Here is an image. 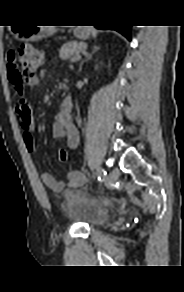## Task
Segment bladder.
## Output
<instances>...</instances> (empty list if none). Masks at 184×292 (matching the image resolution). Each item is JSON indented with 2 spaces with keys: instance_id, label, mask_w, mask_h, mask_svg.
<instances>
[{
  "instance_id": "1",
  "label": "bladder",
  "mask_w": 184,
  "mask_h": 292,
  "mask_svg": "<svg viewBox=\"0 0 184 292\" xmlns=\"http://www.w3.org/2000/svg\"><path fill=\"white\" fill-rule=\"evenodd\" d=\"M62 207L70 220L92 228L106 223L111 215L109 202L95 200L82 191L66 192Z\"/></svg>"
}]
</instances>
